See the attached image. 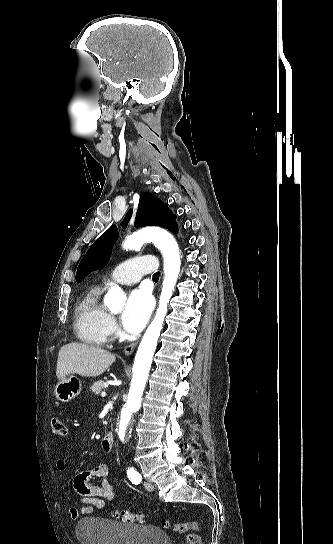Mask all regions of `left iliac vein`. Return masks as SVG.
<instances>
[{
  "instance_id": "obj_1",
  "label": "left iliac vein",
  "mask_w": 333,
  "mask_h": 544,
  "mask_svg": "<svg viewBox=\"0 0 333 544\" xmlns=\"http://www.w3.org/2000/svg\"><path fill=\"white\" fill-rule=\"evenodd\" d=\"M144 487L148 491H153L155 489L154 484L149 481L144 482Z\"/></svg>"
}]
</instances>
